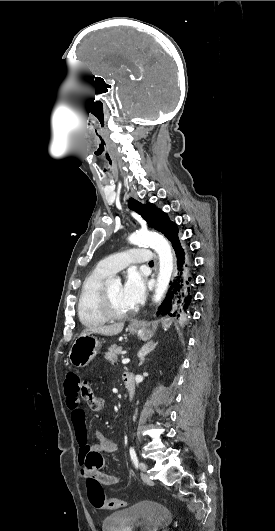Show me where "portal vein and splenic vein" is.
I'll use <instances>...</instances> for the list:
<instances>
[{
	"mask_svg": "<svg viewBox=\"0 0 275 531\" xmlns=\"http://www.w3.org/2000/svg\"><path fill=\"white\" fill-rule=\"evenodd\" d=\"M130 359H122V365H126V363H129Z\"/></svg>",
	"mask_w": 275,
	"mask_h": 531,
	"instance_id": "18ae733b",
	"label": "portal vein and splenic vein"
}]
</instances>
